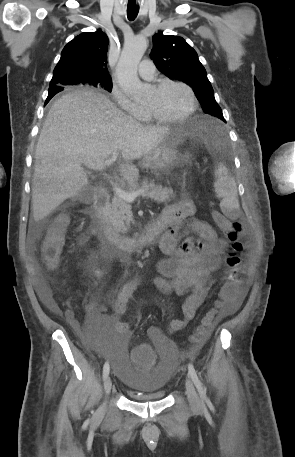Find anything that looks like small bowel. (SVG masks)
Returning a JSON list of instances; mask_svg holds the SVG:
<instances>
[{
    "instance_id": "small-bowel-1",
    "label": "small bowel",
    "mask_w": 295,
    "mask_h": 457,
    "mask_svg": "<svg viewBox=\"0 0 295 457\" xmlns=\"http://www.w3.org/2000/svg\"><path fill=\"white\" fill-rule=\"evenodd\" d=\"M195 213L194 203L184 196L177 204L167 206L158 217L164 226L159 247L167 258L157 263V275L152 278L151 284L165 295H188L181 307L182 317L172 319L169 324L171 332L182 330L195 318L197 309L207 298L212 274L221 267L227 249V242L207 222L196 218ZM137 285L136 281H131L122 287L109 303L111 313L106 312L104 304H88L87 326L99 335L115 332L120 338L128 337L130 326L123 317L126 304ZM39 293L51 311L60 312L45 286H40ZM243 294L241 286L238 299L229 310L238 307ZM148 333L154 341L163 342L159 327L151 326Z\"/></svg>"
}]
</instances>
